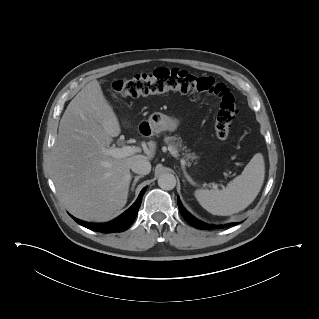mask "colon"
Instances as JSON below:
<instances>
[{
  "instance_id": "colon-1",
  "label": "colon",
  "mask_w": 319,
  "mask_h": 319,
  "mask_svg": "<svg viewBox=\"0 0 319 319\" xmlns=\"http://www.w3.org/2000/svg\"><path fill=\"white\" fill-rule=\"evenodd\" d=\"M118 98H137L168 91L184 94H206L219 99L215 121V132L219 139L226 140L230 134L231 122L237 113L235 98L228 87L211 77H198L180 69L158 68L142 73L128 80L113 83Z\"/></svg>"
}]
</instances>
